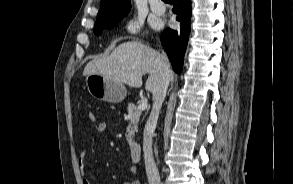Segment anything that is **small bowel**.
<instances>
[{
    "instance_id": "c3829d8e",
    "label": "small bowel",
    "mask_w": 293,
    "mask_h": 184,
    "mask_svg": "<svg viewBox=\"0 0 293 184\" xmlns=\"http://www.w3.org/2000/svg\"><path fill=\"white\" fill-rule=\"evenodd\" d=\"M94 129H95L96 133H99V134L103 133L106 130V124L103 122H98L94 125ZM86 156H87V152L84 151L81 153L79 160H78L79 170L82 175H84L86 173ZM82 183L83 184H92L91 181L86 177H84L82 179ZM123 184H140V182L138 180H133V181L124 182Z\"/></svg>"
}]
</instances>
